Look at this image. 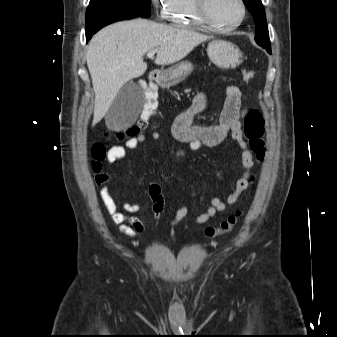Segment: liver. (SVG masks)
I'll return each mask as SVG.
<instances>
[{"label": "liver", "mask_w": 337, "mask_h": 337, "mask_svg": "<svg viewBox=\"0 0 337 337\" xmlns=\"http://www.w3.org/2000/svg\"><path fill=\"white\" fill-rule=\"evenodd\" d=\"M207 39L208 36L188 29L141 18L101 29L90 41L86 53L95 92L92 126L105 116L123 85L145 73L146 53L155 50V63L170 65Z\"/></svg>", "instance_id": "obj_1"}]
</instances>
